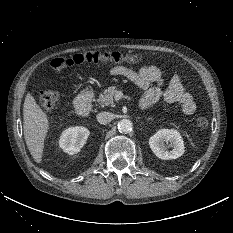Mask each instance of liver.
<instances>
[{
  "mask_svg": "<svg viewBox=\"0 0 233 233\" xmlns=\"http://www.w3.org/2000/svg\"><path fill=\"white\" fill-rule=\"evenodd\" d=\"M23 129L26 145L34 160L40 163L49 121L30 93H27L23 105Z\"/></svg>",
  "mask_w": 233,
  "mask_h": 233,
  "instance_id": "obj_1",
  "label": "liver"
}]
</instances>
